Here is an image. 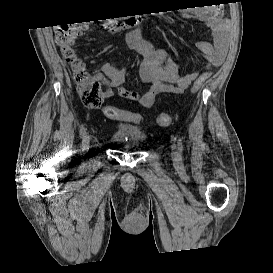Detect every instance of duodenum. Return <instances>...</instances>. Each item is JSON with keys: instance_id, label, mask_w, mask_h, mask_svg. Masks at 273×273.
Wrapping results in <instances>:
<instances>
[{"instance_id": "410a0bca", "label": "duodenum", "mask_w": 273, "mask_h": 273, "mask_svg": "<svg viewBox=\"0 0 273 273\" xmlns=\"http://www.w3.org/2000/svg\"><path fill=\"white\" fill-rule=\"evenodd\" d=\"M144 18L141 16H131L122 19H111L107 22V28L109 31L123 32L128 31L131 28L142 26Z\"/></svg>"}]
</instances>
